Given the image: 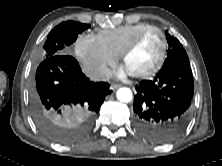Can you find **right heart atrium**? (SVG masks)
<instances>
[{"mask_svg":"<svg viewBox=\"0 0 222 166\" xmlns=\"http://www.w3.org/2000/svg\"><path fill=\"white\" fill-rule=\"evenodd\" d=\"M75 53L84 71L94 79H104L114 63V57L106 52L92 35H80L75 42Z\"/></svg>","mask_w":222,"mask_h":166,"instance_id":"right-heart-atrium-1","label":"right heart atrium"}]
</instances>
